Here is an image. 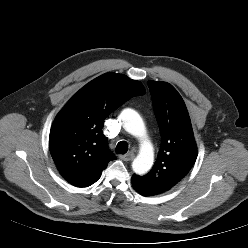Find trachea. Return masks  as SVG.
Masks as SVG:
<instances>
[{"label": "trachea", "instance_id": "3493384b", "mask_svg": "<svg viewBox=\"0 0 248 248\" xmlns=\"http://www.w3.org/2000/svg\"><path fill=\"white\" fill-rule=\"evenodd\" d=\"M128 151V143L120 141L116 146V154H125Z\"/></svg>", "mask_w": 248, "mask_h": 248}]
</instances>
